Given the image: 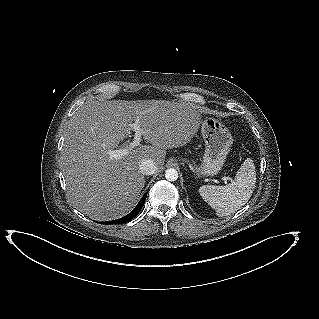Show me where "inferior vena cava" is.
<instances>
[{
    "instance_id": "obj_1",
    "label": "inferior vena cava",
    "mask_w": 319,
    "mask_h": 319,
    "mask_svg": "<svg viewBox=\"0 0 319 319\" xmlns=\"http://www.w3.org/2000/svg\"><path fill=\"white\" fill-rule=\"evenodd\" d=\"M139 169L144 175H153L157 171V167L154 161L150 159H144L143 161H141V163L139 164Z\"/></svg>"
}]
</instances>
